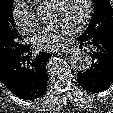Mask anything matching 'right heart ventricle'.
<instances>
[{
	"mask_svg": "<svg viewBox=\"0 0 113 113\" xmlns=\"http://www.w3.org/2000/svg\"><path fill=\"white\" fill-rule=\"evenodd\" d=\"M52 0H30L29 2L35 4L37 7L47 6Z\"/></svg>",
	"mask_w": 113,
	"mask_h": 113,
	"instance_id": "right-heart-ventricle-1",
	"label": "right heart ventricle"
}]
</instances>
